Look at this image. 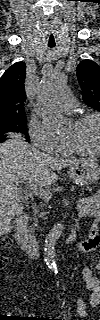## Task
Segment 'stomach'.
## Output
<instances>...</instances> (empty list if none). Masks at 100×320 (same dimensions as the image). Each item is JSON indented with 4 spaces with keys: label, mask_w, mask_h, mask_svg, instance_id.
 I'll return each mask as SVG.
<instances>
[{
    "label": "stomach",
    "mask_w": 100,
    "mask_h": 320,
    "mask_svg": "<svg viewBox=\"0 0 100 320\" xmlns=\"http://www.w3.org/2000/svg\"><path fill=\"white\" fill-rule=\"evenodd\" d=\"M69 176L81 184H91L100 178V165L91 158L81 159L69 167Z\"/></svg>",
    "instance_id": "obj_1"
}]
</instances>
